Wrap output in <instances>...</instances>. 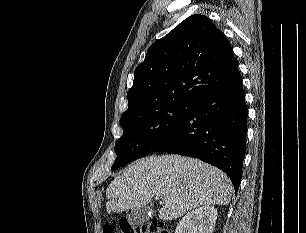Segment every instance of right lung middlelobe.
Here are the masks:
<instances>
[{"mask_svg": "<svg viewBox=\"0 0 306 233\" xmlns=\"http://www.w3.org/2000/svg\"><path fill=\"white\" fill-rule=\"evenodd\" d=\"M197 106L186 99H163L121 116L123 136L116 142L115 170L163 143Z\"/></svg>", "mask_w": 306, "mask_h": 233, "instance_id": "obj_1", "label": "right lung middle lobe"}]
</instances>
